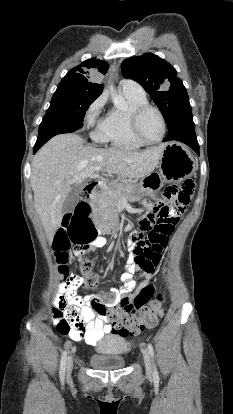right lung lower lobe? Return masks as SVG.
Masks as SVG:
<instances>
[{
  "instance_id": "obj_1",
  "label": "right lung lower lobe",
  "mask_w": 233,
  "mask_h": 414,
  "mask_svg": "<svg viewBox=\"0 0 233 414\" xmlns=\"http://www.w3.org/2000/svg\"><path fill=\"white\" fill-rule=\"evenodd\" d=\"M82 128V125L61 119L57 116L45 115L39 126V134L33 149L35 153L43 144L57 134L71 133Z\"/></svg>"
}]
</instances>
